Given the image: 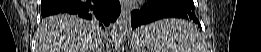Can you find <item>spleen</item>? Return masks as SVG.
I'll list each match as a JSON object with an SVG mask.
<instances>
[{
    "mask_svg": "<svg viewBox=\"0 0 261 52\" xmlns=\"http://www.w3.org/2000/svg\"><path fill=\"white\" fill-rule=\"evenodd\" d=\"M151 52H205L198 29L182 19H164L141 27Z\"/></svg>",
    "mask_w": 261,
    "mask_h": 52,
    "instance_id": "1",
    "label": "spleen"
}]
</instances>
